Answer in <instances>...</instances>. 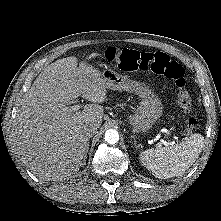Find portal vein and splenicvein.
<instances>
[{
    "label": "portal vein and splenic vein",
    "mask_w": 221,
    "mask_h": 221,
    "mask_svg": "<svg viewBox=\"0 0 221 221\" xmlns=\"http://www.w3.org/2000/svg\"><path fill=\"white\" fill-rule=\"evenodd\" d=\"M81 108V106L80 105H73V106H71V111H78L79 109ZM167 135L170 137L171 135H170V133H167ZM174 139L175 140H178V137H176V136H174ZM161 142L163 143V144H165V145H172V144H174L175 142L174 141H170V142H167V141H165V140H161Z\"/></svg>",
    "instance_id": "obj_1"
}]
</instances>
